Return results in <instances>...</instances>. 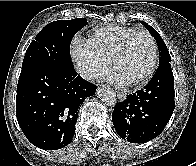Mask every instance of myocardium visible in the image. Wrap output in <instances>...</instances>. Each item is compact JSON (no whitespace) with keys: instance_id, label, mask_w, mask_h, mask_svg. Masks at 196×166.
Segmentation results:
<instances>
[{"instance_id":"myocardium-1","label":"myocardium","mask_w":196,"mask_h":166,"mask_svg":"<svg viewBox=\"0 0 196 166\" xmlns=\"http://www.w3.org/2000/svg\"><path fill=\"white\" fill-rule=\"evenodd\" d=\"M144 34L145 36L148 37L150 43H151V47H152V62L149 66V68L147 69V71L140 76L139 78L133 80L132 82H129V85H140L145 83L146 81H148L152 75L154 74L156 68H157V64H158V58H159V53H158V46L157 43L154 39V37L151 35L150 32H148L145 29H134L133 31H131L121 42L120 46L118 47L117 51L115 52V54L113 55L112 59H111V65L114 68L116 63L123 57V55L126 53V50L128 48V44L130 42V40L132 39V37L136 34Z\"/></svg>"}]
</instances>
